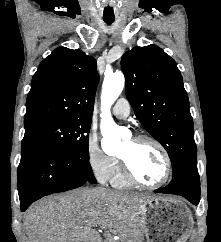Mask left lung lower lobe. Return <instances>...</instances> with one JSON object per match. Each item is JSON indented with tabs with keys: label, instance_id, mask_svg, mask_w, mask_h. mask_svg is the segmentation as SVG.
I'll return each instance as SVG.
<instances>
[{
	"label": "left lung lower lobe",
	"instance_id": "left-lung-lower-lobe-1",
	"mask_svg": "<svg viewBox=\"0 0 221 242\" xmlns=\"http://www.w3.org/2000/svg\"><path fill=\"white\" fill-rule=\"evenodd\" d=\"M155 192L180 195L194 205H197L200 201V182L197 164L187 166L172 178L169 185L157 189Z\"/></svg>",
	"mask_w": 221,
	"mask_h": 242
}]
</instances>
